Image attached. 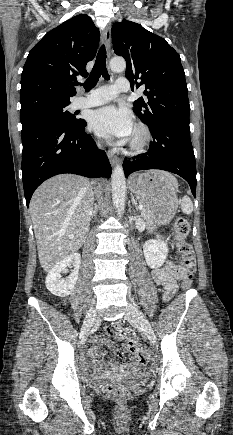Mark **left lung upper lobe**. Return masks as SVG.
Masks as SVG:
<instances>
[{
  "instance_id": "1",
  "label": "left lung upper lobe",
  "mask_w": 233,
  "mask_h": 435,
  "mask_svg": "<svg viewBox=\"0 0 233 435\" xmlns=\"http://www.w3.org/2000/svg\"><path fill=\"white\" fill-rule=\"evenodd\" d=\"M113 49L126 60V78L133 89L145 86L147 98L134 102L133 111L149 129L189 123L190 105L179 54L162 37L135 22L112 27Z\"/></svg>"
}]
</instances>
